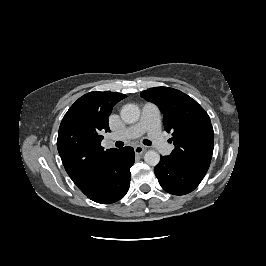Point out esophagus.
<instances>
[{
	"label": "esophagus",
	"instance_id": "1",
	"mask_svg": "<svg viewBox=\"0 0 266 266\" xmlns=\"http://www.w3.org/2000/svg\"><path fill=\"white\" fill-rule=\"evenodd\" d=\"M146 150V148L144 146H141V145H137L134 147V151L136 154H142L144 153Z\"/></svg>",
	"mask_w": 266,
	"mask_h": 266
}]
</instances>
